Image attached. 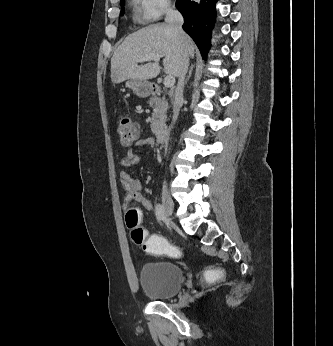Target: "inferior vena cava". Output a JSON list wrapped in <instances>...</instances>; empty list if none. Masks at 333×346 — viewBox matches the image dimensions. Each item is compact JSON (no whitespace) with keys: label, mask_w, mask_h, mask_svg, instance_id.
Listing matches in <instances>:
<instances>
[{"label":"inferior vena cava","mask_w":333,"mask_h":346,"mask_svg":"<svg viewBox=\"0 0 333 346\" xmlns=\"http://www.w3.org/2000/svg\"><path fill=\"white\" fill-rule=\"evenodd\" d=\"M165 22L172 28V30L179 36L180 39L183 38L184 32L182 30V25L184 23V19L178 10L171 7L168 8L166 12ZM188 63V55L184 53L179 67L178 83L175 89L173 101V124L176 122L178 118L181 102L183 99L184 80L188 69Z\"/></svg>","instance_id":"1"}]
</instances>
